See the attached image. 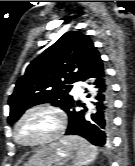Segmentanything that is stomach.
I'll return each instance as SVG.
<instances>
[{
	"mask_svg": "<svg viewBox=\"0 0 135 166\" xmlns=\"http://www.w3.org/2000/svg\"><path fill=\"white\" fill-rule=\"evenodd\" d=\"M73 158V151L60 141L42 147L24 166H75Z\"/></svg>",
	"mask_w": 135,
	"mask_h": 166,
	"instance_id": "0dacf381",
	"label": "stomach"
}]
</instances>
